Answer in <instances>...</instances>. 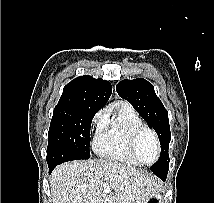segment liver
Here are the masks:
<instances>
[{"instance_id":"liver-1","label":"liver","mask_w":214,"mask_h":203,"mask_svg":"<svg viewBox=\"0 0 214 203\" xmlns=\"http://www.w3.org/2000/svg\"><path fill=\"white\" fill-rule=\"evenodd\" d=\"M104 183L111 190L106 192ZM52 203H145L161 189L156 177L111 160L67 162L50 176Z\"/></svg>"}]
</instances>
